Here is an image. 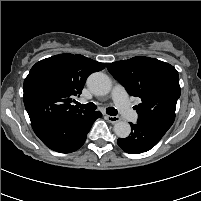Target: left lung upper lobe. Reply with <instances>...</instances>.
<instances>
[{
  "mask_svg": "<svg viewBox=\"0 0 201 201\" xmlns=\"http://www.w3.org/2000/svg\"><path fill=\"white\" fill-rule=\"evenodd\" d=\"M106 66L132 96L141 98L142 102L135 106L138 121L172 126L181 93L178 72L172 65L137 56Z\"/></svg>",
  "mask_w": 201,
  "mask_h": 201,
  "instance_id": "5c2ea615",
  "label": "left lung upper lobe"
}]
</instances>
